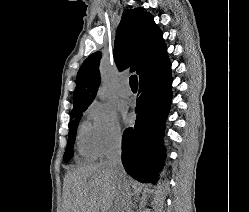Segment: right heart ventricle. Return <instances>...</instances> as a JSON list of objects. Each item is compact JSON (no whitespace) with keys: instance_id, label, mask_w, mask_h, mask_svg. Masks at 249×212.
<instances>
[{"instance_id":"1","label":"right heart ventricle","mask_w":249,"mask_h":212,"mask_svg":"<svg viewBox=\"0 0 249 212\" xmlns=\"http://www.w3.org/2000/svg\"><path fill=\"white\" fill-rule=\"evenodd\" d=\"M76 147L79 154L85 158H94L95 154L89 141V128L87 125H80L76 135Z\"/></svg>"}]
</instances>
